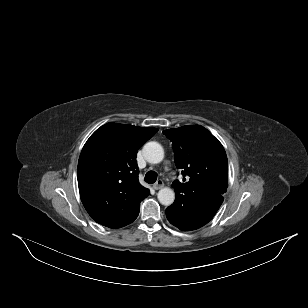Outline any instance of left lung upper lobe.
<instances>
[{"instance_id": "obj_1", "label": "left lung upper lobe", "mask_w": 308, "mask_h": 308, "mask_svg": "<svg viewBox=\"0 0 308 308\" xmlns=\"http://www.w3.org/2000/svg\"><path fill=\"white\" fill-rule=\"evenodd\" d=\"M163 133L172 142L175 164L184 177V183L172 184L176 198L171 206L184 211L222 198L228 187V162L222 144L200 125Z\"/></svg>"}]
</instances>
